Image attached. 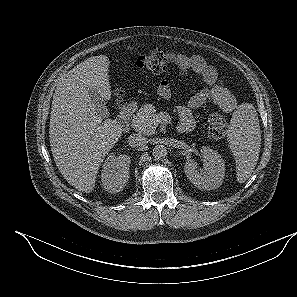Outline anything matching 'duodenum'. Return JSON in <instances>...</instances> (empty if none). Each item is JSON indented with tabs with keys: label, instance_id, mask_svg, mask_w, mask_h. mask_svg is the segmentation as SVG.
I'll return each instance as SVG.
<instances>
[{
	"label": "duodenum",
	"instance_id": "1",
	"mask_svg": "<svg viewBox=\"0 0 297 297\" xmlns=\"http://www.w3.org/2000/svg\"><path fill=\"white\" fill-rule=\"evenodd\" d=\"M135 111V105L134 104H127L123 106L116 118V123L120 130L123 132H127L129 129V121L130 117Z\"/></svg>",
	"mask_w": 297,
	"mask_h": 297
}]
</instances>
